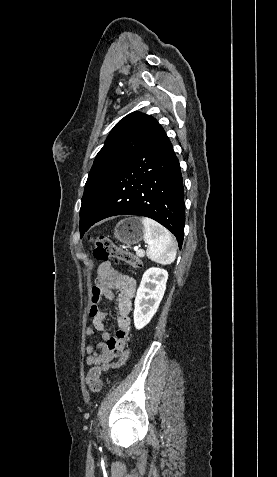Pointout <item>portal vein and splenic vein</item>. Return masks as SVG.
I'll list each match as a JSON object with an SVG mask.
<instances>
[{
    "instance_id": "portal-vein-and-splenic-vein-1",
    "label": "portal vein and splenic vein",
    "mask_w": 277,
    "mask_h": 477,
    "mask_svg": "<svg viewBox=\"0 0 277 477\" xmlns=\"http://www.w3.org/2000/svg\"><path fill=\"white\" fill-rule=\"evenodd\" d=\"M134 250L136 251V254L138 256H144V250L139 249V247H137V246L134 247Z\"/></svg>"
}]
</instances>
